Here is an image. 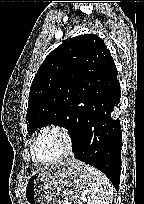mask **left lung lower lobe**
Returning a JSON list of instances; mask_svg holds the SVG:
<instances>
[{"label":"left lung lower lobe","mask_w":144,"mask_h":204,"mask_svg":"<svg viewBox=\"0 0 144 204\" xmlns=\"http://www.w3.org/2000/svg\"><path fill=\"white\" fill-rule=\"evenodd\" d=\"M114 61L97 67L87 92L80 130L71 138L76 159L98 168L119 189L122 132L114 111L121 91Z\"/></svg>","instance_id":"0a47b994"}]
</instances>
